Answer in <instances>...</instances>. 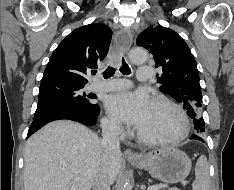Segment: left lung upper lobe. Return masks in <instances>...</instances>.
<instances>
[{"mask_svg":"<svg viewBox=\"0 0 234 190\" xmlns=\"http://www.w3.org/2000/svg\"><path fill=\"white\" fill-rule=\"evenodd\" d=\"M137 45L149 50L155 66L162 69L163 74L157 79L162 83L160 90L183 104L197 133L205 132L199 73L185 41L169 28L150 26L139 34Z\"/></svg>","mask_w":234,"mask_h":190,"instance_id":"left-lung-upper-lobe-1","label":"left lung upper lobe"}]
</instances>
